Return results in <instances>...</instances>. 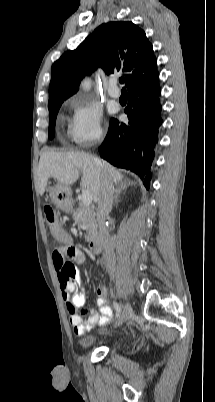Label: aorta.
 Segmentation results:
<instances>
[{"label":"aorta","instance_id":"aorta-1","mask_svg":"<svg viewBox=\"0 0 215 402\" xmlns=\"http://www.w3.org/2000/svg\"><path fill=\"white\" fill-rule=\"evenodd\" d=\"M81 87L85 90L88 91L91 88V82L89 79H85L83 80V82L81 83Z\"/></svg>","mask_w":215,"mask_h":402}]
</instances>
